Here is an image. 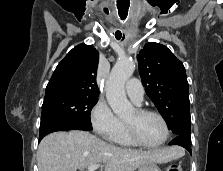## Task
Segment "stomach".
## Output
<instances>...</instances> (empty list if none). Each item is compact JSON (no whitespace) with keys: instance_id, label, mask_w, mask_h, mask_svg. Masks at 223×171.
I'll use <instances>...</instances> for the list:
<instances>
[{"instance_id":"1","label":"stomach","mask_w":223,"mask_h":171,"mask_svg":"<svg viewBox=\"0 0 223 171\" xmlns=\"http://www.w3.org/2000/svg\"><path fill=\"white\" fill-rule=\"evenodd\" d=\"M138 171H161L155 163H146L142 165Z\"/></svg>"}]
</instances>
